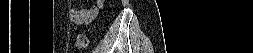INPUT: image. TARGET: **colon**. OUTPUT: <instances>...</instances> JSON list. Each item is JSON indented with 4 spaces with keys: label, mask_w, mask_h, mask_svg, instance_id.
I'll return each mask as SVG.
<instances>
[{
    "label": "colon",
    "mask_w": 253,
    "mask_h": 53,
    "mask_svg": "<svg viewBox=\"0 0 253 53\" xmlns=\"http://www.w3.org/2000/svg\"><path fill=\"white\" fill-rule=\"evenodd\" d=\"M89 40L85 34H79L76 38L75 47L77 49H84L88 46Z\"/></svg>",
    "instance_id": "obj_1"
}]
</instances>
